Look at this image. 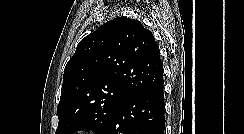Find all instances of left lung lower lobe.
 <instances>
[{
	"label": "left lung lower lobe",
	"mask_w": 244,
	"mask_h": 134,
	"mask_svg": "<svg viewBox=\"0 0 244 134\" xmlns=\"http://www.w3.org/2000/svg\"><path fill=\"white\" fill-rule=\"evenodd\" d=\"M163 86L128 97L104 134H164Z\"/></svg>",
	"instance_id": "1"
}]
</instances>
